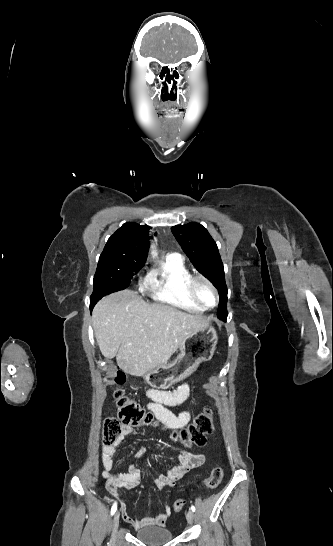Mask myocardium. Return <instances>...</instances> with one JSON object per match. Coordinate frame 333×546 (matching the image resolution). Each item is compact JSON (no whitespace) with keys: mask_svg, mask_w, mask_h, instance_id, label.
I'll return each mask as SVG.
<instances>
[{"mask_svg":"<svg viewBox=\"0 0 333 546\" xmlns=\"http://www.w3.org/2000/svg\"><path fill=\"white\" fill-rule=\"evenodd\" d=\"M197 282H203L205 283L207 286H209L214 294H215V303L211 306L205 304L199 297L198 295L196 294V291H195V284ZM185 287H186V291L189 295V297L196 303L198 304L199 306L205 308V309H212V308H215L218 303H219V292H218V289L217 287L214 285V283L209 279L207 278L206 276L204 275H201V274H194V275H190L189 278L187 279L186 281V284H185Z\"/></svg>","mask_w":333,"mask_h":546,"instance_id":"f54148a6","label":"myocardium"}]
</instances>
